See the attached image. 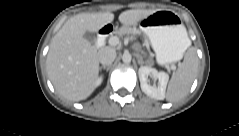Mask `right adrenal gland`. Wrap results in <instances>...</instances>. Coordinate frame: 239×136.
Masks as SVG:
<instances>
[{
    "mask_svg": "<svg viewBox=\"0 0 239 136\" xmlns=\"http://www.w3.org/2000/svg\"><path fill=\"white\" fill-rule=\"evenodd\" d=\"M102 69H107V70H109V66H101V67H100V70H102Z\"/></svg>",
    "mask_w": 239,
    "mask_h": 136,
    "instance_id": "right-adrenal-gland-1",
    "label": "right adrenal gland"
}]
</instances>
